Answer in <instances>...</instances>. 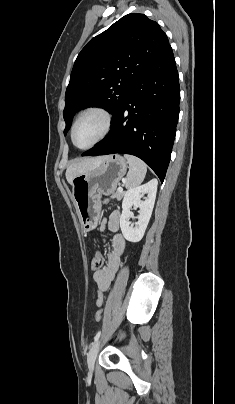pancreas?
<instances>
[{"label": "pancreas", "instance_id": "cf45deb5", "mask_svg": "<svg viewBox=\"0 0 235 404\" xmlns=\"http://www.w3.org/2000/svg\"><path fill=\"white\" fill-rule=\"evenodd\" d=\"M123 196H124V192L123 191H121V192H119V191H116V192H114L113 194H112V196H111V198H116L118 201H120L122 198H123Z\"/></svg>", "mask_w": 235, "mask_h": 404}]
</instances>
